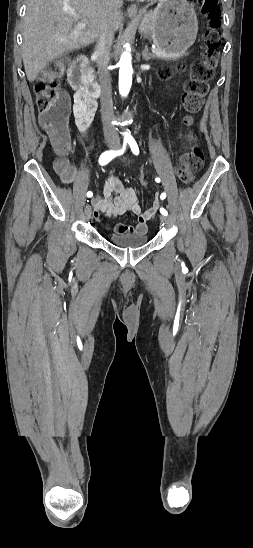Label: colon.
Wrapping results in <instances>:
<instances>
[{"mask_svg": "<svg viewBox=\"0 0 253 548\" xmlns=\"http://www.w3.org/2000/svg\"><path fill=\"white\" fill-rule=\"evenodd\" d=\"M198 3L205 15L208 16V30L204 35L205 51L201 59L191 66L190 77L184 84V94L182 105L188 114L197 113L208 92L209 81L213 78L215 69L218 65L219 49L222 44V37L219 31V5L218 0H193ZM63 65L61 62L53 63L47 70L42 72L36 79L34 92L36 95L37 107L39 110V119L42 126L52 136L54 145L59 153L65 154L69 149V130L68 116L70 103L66 94L59 87V74ZM181 68V64H177ZM171 76L170 69H164L161 77L168 79ZM187 123V121H186ZM187 141L192 144L186 149L180 159V164L176 169L178 178L183 183H190L196 172H198L204 162V156L201 150L195 145V137L186 134ZM57 169L62 173L69 170L66 161L57 162ZM144 169L138 170L139 181L148 182Z\"/></svg>", "mask_w": 253, "mask_h": 548, "instance_id": "5ec220e1", "label": "colon"}]
</instances>
